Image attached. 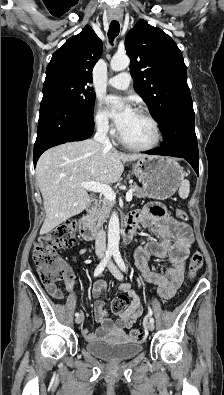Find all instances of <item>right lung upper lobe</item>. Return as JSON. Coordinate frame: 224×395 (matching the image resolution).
I'll list each match as a JSON object with an SVG mask.
<instances>
[{
	"mask_svg": "<svg viewBox=\"0 0 224 395\" xmlns=\"http://www.w3.org/2000/svg\"><path fill=\"white\" fill-rule=\"evenodd\" d=\"M102 49V41L93 29L86 25L78 35L69 38L53 53L46 69V76L59 74L89 83Z\"/></svg>",
	"mask_w": 224,
	"mask_h": 395,
	"instance_id": "obj_1",
	"label": "right lung upper lobe"
}]
</instances>
